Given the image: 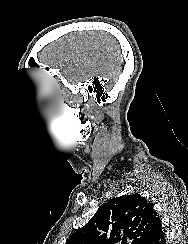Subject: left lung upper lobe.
<instances>
[{"label": "left lung upper lobe", "mask_w": 188, "mask_h": 244, "mask_svg": "<svg viewBox=\"0 0 188 244\" xmlns=\"http://www.w3.org/2000/svg\"><path fill=\"white\" fill-rule=\"evenodd\" d=\"M158 217L139 194L110 199L66 244H146Z\"/></svg>", "instance_id": "obj_1"}]
</instances>
